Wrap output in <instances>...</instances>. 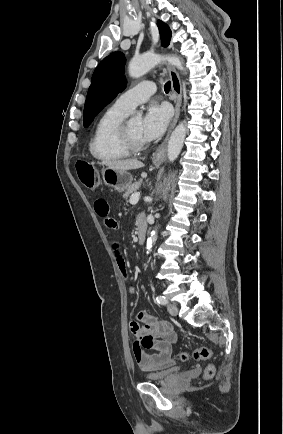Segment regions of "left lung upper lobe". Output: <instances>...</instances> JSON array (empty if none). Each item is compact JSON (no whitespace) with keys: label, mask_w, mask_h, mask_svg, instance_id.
<instances>
[{"label":"left lung upper lobe","mask_w":283,"mask_h":434,"mask_svg":"<svg viewBox=\"0 0 283 434\" xmlns=\"http://www.w3.org/2000/svg\"><path fill=\"white\" fill-rule=\"evenodd\" d=\"M162 46H168L171 31L167 24L158 20ZM125 57L121 52L111 53L96 67L85 101L83 125L87 127L94 117L109 104L119 92L124 90L126 80L124 74Z\"/></svg>","instance_id":"left-lung-upper-lobe-1"}]
</instances>
